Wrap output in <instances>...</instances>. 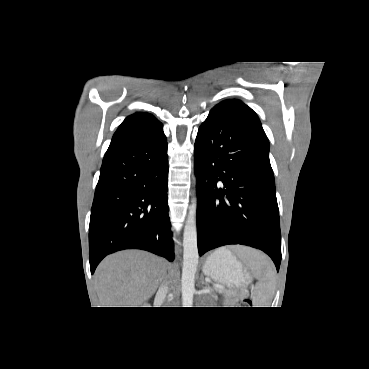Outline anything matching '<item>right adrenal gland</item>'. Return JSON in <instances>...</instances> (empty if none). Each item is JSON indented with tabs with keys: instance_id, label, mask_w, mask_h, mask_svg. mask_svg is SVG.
Here are the masks:
<instances>
[{
	"instance_id": "right-adrenal-gland-1",
	"label": "right adrenal gland",
	"mask_w": 369,
	"mask_h": 369,
	"mask_svg": "<svg viewBox=\"0 0 369 369\" xmlns=\"http://www.w3.org/2000/svg\"><path fill=\"white\" fill-rule=\"evenodd\" d=\"M165 282H167V276L165 277Z\"/></svg>"
}]
</instances>
